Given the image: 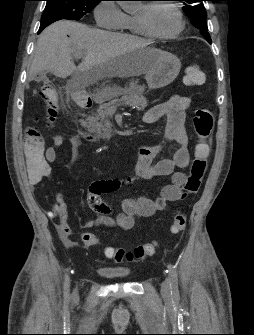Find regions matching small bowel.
Instances as JSON below:
<instances>
[{
	"label": "small bowel",
	"mask_w": 254,
	"mask_h": 335,
	"mask_svg": "<svg viewBox=\"0 0 254 335\" xmlns=\"http://www.w3.org/2000/svg\"><path fill=\"white\" fill-rule=\"evenodd\" d=\"M189 107L190 99L188 97L173 95L146 112L143 120L147 124H154L162 117L167 118L162 141L138 147L139 159L134 175L101 179L91 184L88 204L97 213V218L87 220L84 224L85 228L105 226L130 230L134 227L137 217H150L156 212L164 210L169 202H176L182 199V187L186 181V175L176 169L185 168L190 160L188 150L189 139L185 128ZM64 142L65 139L60 134L53 137L52 145L46 149L45 156L43 157L49 165L58 159V153ZM80 143L81 140L77 136H73L70 139L73 154L77 153ZM167 146H174L172 155L156 162V158ZM158 176H169L170 182L162 187L156 198L146 196L126 198L121 203V210L112 215V208L103 200V194L112 193L121 187ZM28 179L32 185H35L44 178ZM49 217L56 220V229L63 244L69 248L75 247L76 242L71 237L72 232L68 223L69 214L67 205L62 195H56V202L49 212Z\"/></svg>",
	"instance_id": "c3829d8e"
}]
</instances>
